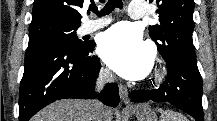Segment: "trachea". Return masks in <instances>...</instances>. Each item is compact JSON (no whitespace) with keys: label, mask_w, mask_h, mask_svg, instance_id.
I'll return each instance as SVG.
<instances>
[{"label":"trachea","mask_w":217,"mask_h":121,"mask_svg":"<svg viewBox=\"0 0 217 121\" xmlns=\"http://www.w3.org/2000/svg\"><path fill=\"white\" fill-rule=\"evenodd\" d=\"M115 8H123L122 0H108V2L104 6V8L101 9V11H98L95 5L90 6V10L96 13L99 17L110 14Z\"/></svg>","instance_id":"1"}]
</instances>
